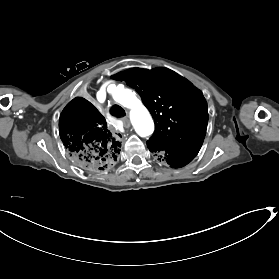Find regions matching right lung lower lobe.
Instances as JSON below:
<instances>
[{
  "mask_svg": "<svg viewBox=\"0 0 279 279\" xmlns=\"http://www.w3.org/2000/svg\"><path fill=\"white\" fill-rule=\"evenodd\" d=\"M59 134L73 162L91 172L110 169L117 161L121 134L86 99L77 97L63 109Z\"/></svg>",
  "mask_w": 279,
  "mask_h": 279,
  "instance_id": "right-lung-lower-lobe-1",
  "label": "right lung lower lobe"
}]
</instances>
